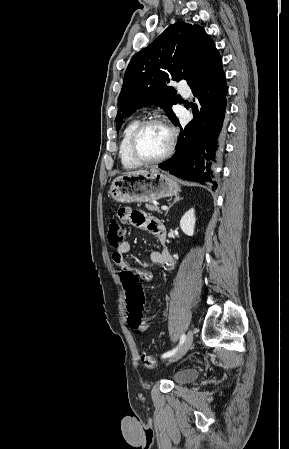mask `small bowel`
Masks as SVG:
<instances>
[{"mask_svg": "<svg viewBox=\"0 0 289 449\" xmlns=\"http://www.w3.org/2000/svg\"><path fill=\"white\" fill-rule=\"evenodd\" d=\"M120 219L124 222H128L133 226L149 231L154 235L158 242L163 245L166 240V231L164 225L156 218L147 215L140 210H133L131 208H121L118 211ZM131 251V245L129 242H123L119 247L115 248L112 253L113 262L123 269L134 271L135 276L145 281H151L153 279L152 272L135 268L129 265L125 259V255ZM150 260L153 264L160 266L165 271H171L174 268V261L170 253L162 248L161 250L152 251L150 253ZM148 329L147 322H144L140 328L141 331Z\"/></svg>", "mask_w": 289, "mask_h": 449, "instance_id": "small-bowel-1", "label": "small bowel"}]
</instances>
